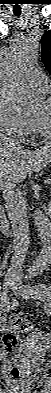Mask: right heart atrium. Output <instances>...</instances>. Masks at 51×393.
Instances as JSON below:
<instances>
[{
	"label": "right heart atrium",
	"mask_w": 51,
	"mask_h": 393,
	"mask_svg": "<svg viewBox=\"0 0 51 393\" xmlns=\"http://www.w3.org/2000/svg\"><path fill=\"white\" fill-rule=\"evenodd\" d=\"M32 121L16 111L10 103L0 98V129L3 133L21 138L31 133Z\"/></svg>",
	"instance_id": "d8ad5b80"
}]
</instances>
